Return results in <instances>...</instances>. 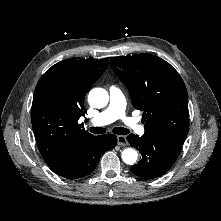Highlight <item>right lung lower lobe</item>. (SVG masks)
I'll return each mask as SVG.
<instances>
[{"mask_svg":"<svg viewBox=\"0 0 221 221\" xmlns=\"http://www.w3.org/2000/svg\"><path fill=\"white\" fill-rule=\"evenodd\" d=\"M117 137L113 134L95 136L72 155L61 167L52 169L67 179H78L90 174L98 165L101 155L116 146Z\"/></svg>","mask_w":221,"mask_h":221,"instance_id":"obj_1","label":"right lung lower lobe"}]
</instances>
